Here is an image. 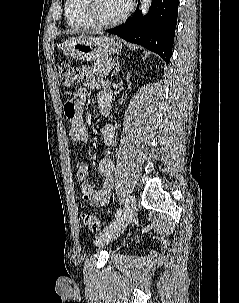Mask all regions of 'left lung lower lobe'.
<instances>
[{
    "label": "left lung lower lobe",
    "mask_w": 239,
    "mask_h": 303,
    "mask_svg": "<svg viewBox=\"0 0 239 303\" xmlns=\"http://www.w3.org/2000/svg\"><path fill=\"white\" fill-rule=\"evenodd\" d=\"M179 0H152L148 14L137 11L133 17L106 32L139 44L160 55L168 64L172 54Z\"/></svg>",
    "instance_id": "obj_1"
}]
</instances>
